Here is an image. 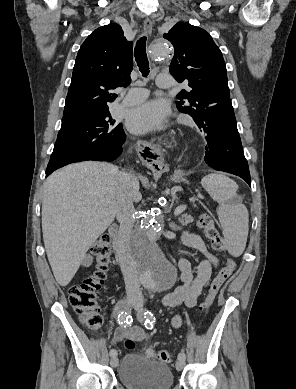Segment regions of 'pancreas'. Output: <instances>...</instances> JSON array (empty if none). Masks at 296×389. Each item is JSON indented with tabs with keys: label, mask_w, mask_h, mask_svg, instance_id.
I'll list each match as a JSON object with an SVG mask.
<instances>
[{
	"label": "pancreas",
	"mask_w": 296,
	"mask_h": 389,
	"mask_svg": "<svg viewBox=\"0 0 296 389\" xmlns=\"http://www.w3.org/2000/svg\"><path fill=\"white\" fill-rule=\"evenodd\" d=\"M179 221L183 226H187L188 224L193 222V217L190 214H182L179 217Z\"/></svg>",
	"instance_id": "1"
}]
</instances>
